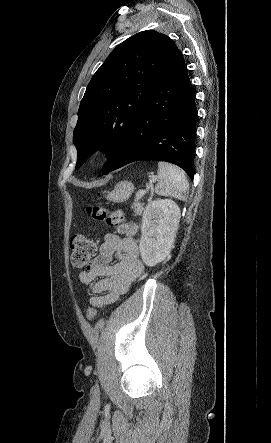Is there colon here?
<instances>
[{
    "label": "colon",
    "instance_id": "5ec220e1",
    "mask_svg": "<svg viewBox=\"0 0 271 443\" xmlns=\"http://www.w3.org/2000/svg\"><path fill=\"white\" fill-rule=\"evenodd\" d=\"M88 216L97 221H105L107 224L116 227L120 232L128 229V224L125 217L120 211L109 212L99 205H89L86 207ZM71 247V263L75 267H84L88 265L90 260L95 256L97 246L94 241L89 240L83 235H75L70 241ZM97 317V309L89 307L87 310V318L90 321Z\"/></svg>",
    "mask_w": 271,
    "mask_h": 443
}]
</instances>
